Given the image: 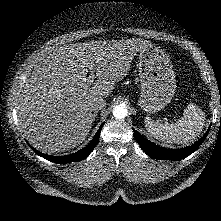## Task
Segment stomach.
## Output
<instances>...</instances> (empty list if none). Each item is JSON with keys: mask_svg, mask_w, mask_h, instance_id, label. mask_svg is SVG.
Returning a JSON list of instances; mask_svg holds the SVG:
<instances>
[{"mask_svg": "<svg viewBox=\"0 0 221 221\" xmlns=\"http://www.w3.org/2000/svg\"><path fill=\"white\" fill-rule=\"evenodd\" d=\"M140 107L149 113L162 110L176 91L175 75L168 57L157 47L149 45L140 51Z\"/></svg>", "mask_w": 221, "mask_h": 221, "instance_id": "1", "label": "stomach"}]
</instances>
